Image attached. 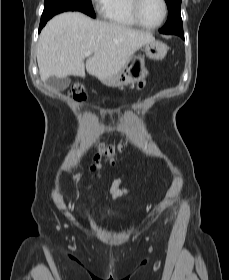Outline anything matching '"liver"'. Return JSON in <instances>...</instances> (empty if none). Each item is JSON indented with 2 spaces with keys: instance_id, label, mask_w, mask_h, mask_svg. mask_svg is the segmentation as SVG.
<instances>
[{
  "instance_id": "6515ba94",
  "label": "liver",
  "mask_w": 229,
  "mask_h": 280,
  "mask_svg": "<svg viewBox=\"0 0 229 280\" xmlns=\"http://www.w3.org/2000/svg\"><path fill=\"white\" fill-rule=\"evenodd\" d=\"M155 41L150 32L116 23L93 20L79 12L52 18L37 46V62L43 82L50 77L85 76L104 79L117 74L146 43ZM92 52L84 64L85 53Z\"/></svg>"
}]
</instances>
